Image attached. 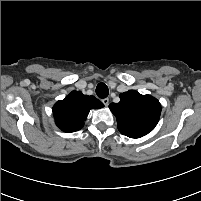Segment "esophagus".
<instances>
[{
  "label": "esophagus",
  "instance_id": "34e87169",
  "mask_svg": "<svg viewBox=\"0 0 201 201\" xmlns=\"http://www.w3.org/2000/svg\"><path fill=\"white\" fill-rule=\"evenodd\" d=\"M102 102L105 106H108L109 105V99L108 98H104L102 99Z\"/></svg>",
  "mask_w": 201,
  "mask_h": 201
}]
</instances>
